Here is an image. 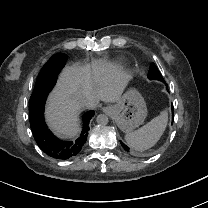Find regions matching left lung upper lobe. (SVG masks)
Segmentation results:
<instances>
[{
    "label": "left lung upper lobe",
    "mask_w": 208,
    "mask_h": 208,
    "mask_svg": "<svg viewBox=\"0 0 208 208\" xmlns=\"http://www.w3.org/2000/svg\"><path fill=\"white\" fill-rule=\"evenodd\" d=\"M148 78L149 79H155V80H159V81H164L161 73L159 72V70L157 69V67L155 66L154 63H152L150 65V69H149V72H148Z\"/></svg>",
    "instance_id": "left-lung-upper-lobe-1"
}]
</instances>
